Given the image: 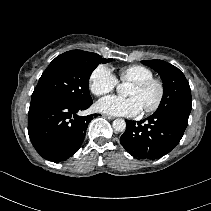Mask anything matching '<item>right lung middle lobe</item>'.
<instances>
[{"instance_id":"right-lung-middle-lobe-1","label":"right lung middle lobe","mask_w":211,"mask_h":211,"mask_svg":"<svg viewBox=\"0 0 211 211\" xmlns=\"http://www.w3.org/2000/svg\"><path fill=\"white\" fill-rule=\"evenodd\" d=\"M98 54L71 50L57 56L43 72L31 100H56L72 105L92 102L89 78L100 63H107Z\"/></svg>"}]
</instances>
